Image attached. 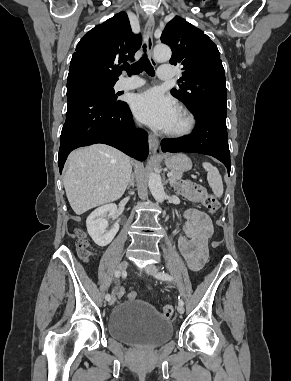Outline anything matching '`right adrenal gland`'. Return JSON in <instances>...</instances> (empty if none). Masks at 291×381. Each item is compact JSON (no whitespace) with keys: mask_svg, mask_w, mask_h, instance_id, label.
I'll return each instance as SVG.
<instances>
[{"mask_svg":"<svg viewBox=\"0 0 291 381\" xmlns=\"http://www.w3.org/2000/svg\"><path fill=\"white\" fill-rule=\"evenodd\" d=\"M134 184H135V175L132 174V175H131V178H130V181H129V184H128V189H129L130 187H134Z\"/></svg>","mask_w":291,"mask_h":381,"instance_id":"right-adrenal-gland-1","label":"right adrenal gland"}]
</instances>
